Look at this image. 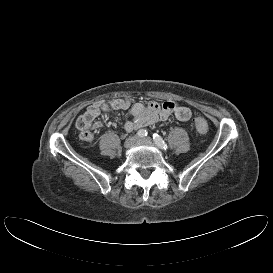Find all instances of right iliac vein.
Wrapping results in <instances>:
<instances>
[{"mask_svg": "<svg viewBox=\"0 0 273 273\" xmlns=\"http://www.w3.org/2000/svg\"><path fill=\"white\" fill-rule=\"evenodd\" d=\"M137 140L138 138L136 136L129 137L128 139L125 140L124 147L125 148L132 147L137 142Z\"/></svg>", "mask_w": 273, "mask_h": 273, "instance_id": "1", "label": "right iliac vein"}]
</instances>
